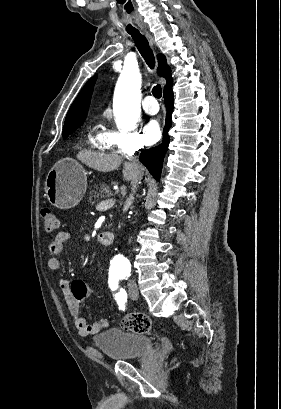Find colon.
<instances>
[{
    "label": "colon",
    "mask_w": 281,
    "mask_h": 409,
    "mask_svg": "<svg viewBox=\"0 0 281 409\" xmlns=\"http://www.w3.org/2000/svg\"><path fill=\"white\" fill-rule=\"evenodd\" d=\"M42 221L47 232L59 230V222L56 213L50 207L43 206L41 209ZM121 327L134 333L148 332L152 328L151 320L142 312L125 315L120 321Z\"/></svg>",
    "instance_id": "colon-1"
}]
</instances>
